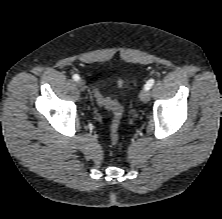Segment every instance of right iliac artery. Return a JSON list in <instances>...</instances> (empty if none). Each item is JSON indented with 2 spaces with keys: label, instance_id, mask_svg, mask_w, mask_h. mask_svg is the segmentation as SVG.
I'll return each instance as SVG.
<instances>
[{
  "label": "right iliac artery",
  "instance_id": "right-iliac-artery-1",
  "mask_svg": "<svg viewBox=\"0 0 222 219\" xmlns=\"http://www.w3.org/2000/svg\"><path fill=\"white\" fill-rule=\"evenodd\" d=\"M73 79H74L75 81H78V80L80 79V77H79L78 74H74V75H73Z\"/></svg>",
  "mask_w": 222,
  "mask_h": 219
}]
</instances>
